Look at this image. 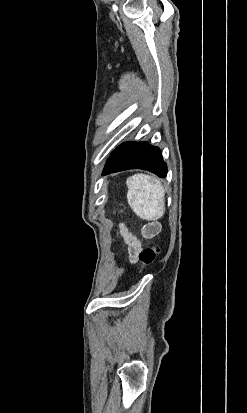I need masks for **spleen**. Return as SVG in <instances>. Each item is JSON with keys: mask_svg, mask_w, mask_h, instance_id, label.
<instances>
[{"mask_svg": "<svg viewBox=\"0 0 247 413\" xmlns=\"http://www.w3.org/2000/svg\"><path fill=\"white\" fill-rule=\"evenodd\" d=\"M126 182L128 204L136 215L149 217V221L163 217L165 190L160 180L140 172L128 176Z\"/></svg>", "mask_w": 247, "mask_h": 413, "instance_id": "3e777b00", "label": "spleen"}]
</instances>
